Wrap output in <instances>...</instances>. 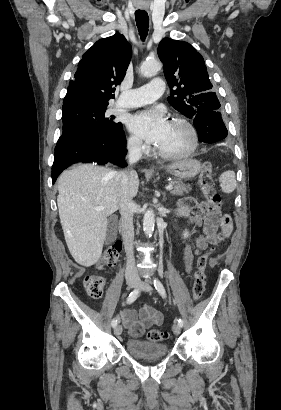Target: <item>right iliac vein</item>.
Listing matches in <instances>:
<instances>
[{
  "mask_svg": "<svg viewBox=\"0 0 281 410\" xmlns=\"http://www.w3.org/2000/svg\"><path fill=\"white\" fill-rule=\"evenodd\" d=\"M127 285L129 288H135L137 286V283L134 281H129L127 282ZM122 333V326L121 325H116L114 328V334L116 336H119Z\"/></svg>",
  "mask_w": 281,
  "mask_h": 410,
  "instance_id": "63e3f726",
  "label": "right iliac vein"
}]
</instances>
